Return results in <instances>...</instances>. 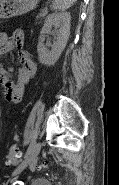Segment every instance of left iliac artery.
I'll list each match as a JSON object with an SVG mask.
<instances>
[{"label":"left iliac artery","instance_id":"left-iliac-artery-1","mask_svg":"<svg viewBox=\"0 0 119 185\" xmlns=\"http://www.w3.org/2000/svg\"><path fill=\"white\" fill-rule=\"evenodd\" d=\"M33 146H34V144L32 143V144L28 147V149H27V151H26V155H28V154L30 153V151L32 150Z\"/></svg>","mask_w":119,"mask_h":185}]
</instances>
